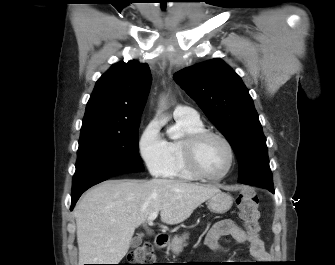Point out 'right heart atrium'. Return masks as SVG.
Here are the masks:
<instances>
[{
  "label": "right heart atrium",
  "mask_w": 335,
  "mask_h": 265,
  "mask_svg": "<svg viewBox=\"0 0 335 265\" xmlns=\"http://www.w3.org/2000/svg\"><path fill=\"white\" fill-rule=\"evenodd\" d=\"M138 148L149 172L154 176H164L170 164V152L168 141L156 120H151L143 129Z\"/></svg>",
  "instance_id": "d8ad5b80"
}]
</instances>
